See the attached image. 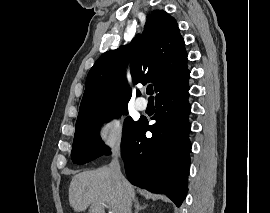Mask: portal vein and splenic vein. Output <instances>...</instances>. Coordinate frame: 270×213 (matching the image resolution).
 I'll return each mask as SVG.
<instances>
[{
    "label": "portal vein and splenic vein",
    "mask_w": 270,
    "mask_h": 213,
    "mask_svg": "<svg viewBox=\"0 0 270 213\" xmlns=\"http://www.w3.org/2000/svg\"><path fill=\"white\" fill-rule=\"evenodd\" d=\"M105 206H107V205H105ZM107 207L110 209L109 206H107ZM109 213H115V212H114L113 210L110 209Z\"/></svg>",
    "instance_id": "1"
}]
</instances>
